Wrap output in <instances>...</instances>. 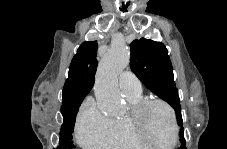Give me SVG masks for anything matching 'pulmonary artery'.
<instances>
[{"instance_id":"obj_1","label":"pulmonary artery","mask_w":227,"mask_h":149,"mask_svg":"<svg viewBox=\"0 0 227 149\" xmlns=\"http://www.w3.org/2000/svg\"><path fill=\"white\" fill-rule=\"evenodd\" d=\"M119 86L125 96H134L142 93L141 82L129 71L121 73L119 76Z\"/></svg>"}]
</instances>
